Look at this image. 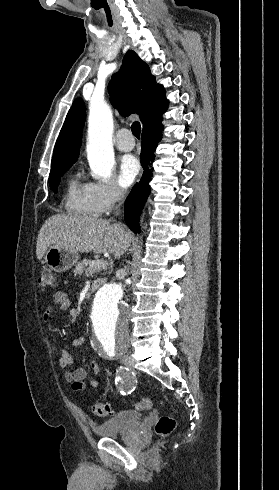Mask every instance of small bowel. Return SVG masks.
I'll return each instance as SVG.
<instances>
[{
    "label": "small bowel",
    "instance_id": "small-bowel-1",
    "mask_svg": "<svg viewBox=\"0 0 279 490\" xmlns=\"http://www.w3.org/2000/svg\"><path fill=\"white\" fill-rule=\"evenodd\" d=\"M70 306L71 302L68 296L64 292H56L52 297V304L49 305L45 318H52L54 313L57 311H66L70 308ZM83 343V337H76L64 347L59 356V366L64 370V379L66 382L71 384L72 389L74 390L85 389V384L82 382V380H84L86 377V370L82 367H79L74 371L70 369L72 365L71 350L81 346ZM91 367L97 375H103V369L97 362L93 361L91 363ZM89 385L96 388L99 386V381L97 379H91L89 380Z\"/></svg>",
    "mask_w": 279,
    "mask_h": 490
}]
</instances>
